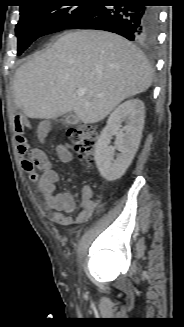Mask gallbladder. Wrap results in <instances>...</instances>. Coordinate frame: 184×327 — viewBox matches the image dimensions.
Wrapping results in <instances>:
<instances>
[{"label": "gallbladder", "mask_w": 184, "mask_h": 327, "mask_svg": "<svg viewBox=\"0 0 184 327\" xmlns=\"http://www.w3.org/2000/svg\"><path fill=\"white\" fill-rule=\"evenodd\" d=\"M78 121H79V118L73 113L68 114L65 118V124H67V125H74V124L78 123Z\"/></svg>", "instance_id": "gallbladder-1"}]
</instances>
